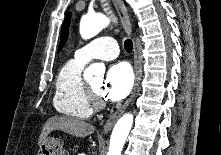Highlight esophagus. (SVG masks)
Wrapping results in <instances>:
<instances>
[{
    "instance_id": "esophagus-1",
    "label": "esophagus",
    "mask_w": 221,
    "mask_h": 155,
    "mask_svg": "<svg viewBox=\"0 0 221 155\" xmlns=\"http://www.w3.org/2000/svg\"><path fill=\"white\" fill-rule=\"evenodd\" d=\"M115 9L119 15V18L121 20L122 26L124 28V30L126 31V33L129 36H132V25L130 22V17L128 14V11L124 5V2L122 0H112ZM134 71H135V83H134V87L133 90L129 96V98L125 101V103L120 106L107 120V122L105 123L102 133L103 134H107L113 127V125L115 124L116 120L121 116V114L125 111V109L129 106L130 102L132 101V99L134 98L137 86H138V82H139V78H140V72H139V66H138V59H137V48L136 45L134 43Z\"/></svg>"
}]
</instances>
